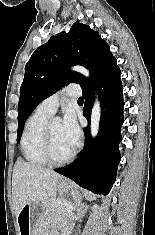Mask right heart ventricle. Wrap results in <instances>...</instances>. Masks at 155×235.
Segmentation results:
<instances>
[{
    "instance_id": "right-heart-ventricle-1",
    "label": "right heart ventricle",
    "mask_w": 155,
    "mask_h": 235,
    "mask_svg": "<svg viewBox=\"0 0 155 235\" xmlns=\"http://www.w3.org/2000/svg\"><path fill=\"white\" fill-rule=\"evenodd\" d=\"M50 116L51 114L37 108L25 123L21 137V151L24 159L31 165L47 164L42 154V142L44 129Z\"/></svg>"
}]
</instances>
